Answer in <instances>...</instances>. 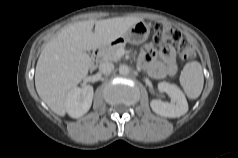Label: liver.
<instances>
[{"label":"liver","instance_id":"obj_1","mask_svg":"<svg viewBox=\"0 0 238 158\" xmlns=\"http://www.w3.org/2000/svg\"><path fill=\"white\" fill-rule=\"evenodd\" d=\"M141 20L116 17L79 21L64 27L45 45L38 58L35 86L39 97L54 113L64 116L68 94L87 77L92 64L87 51L115 41Z\"/></svg>","mask_w":238,"mask_h":158}]
</instances>
